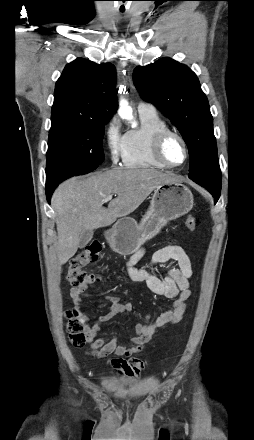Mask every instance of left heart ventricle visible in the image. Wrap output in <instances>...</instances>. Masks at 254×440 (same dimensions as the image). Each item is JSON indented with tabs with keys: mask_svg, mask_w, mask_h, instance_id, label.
<instances>
[{
	"mask_svg": "<svg viewBox=\"0 0 254 440\" xmlns=\"http://www.w3.org/2000/svg\"><path fill=\"white\" fill-rule=\"evenodd\" d=\"M164 156L173 164H180L183 161L184 149L181 142L177 138H168L164 145Z\"/></svg>",
	"mask_w": 254,
	"mask_h": 440,
	"instance_id": "left-heart-ventricle-1",
	"label": "left heart ventricle"
}]
</instances>
